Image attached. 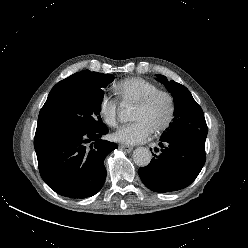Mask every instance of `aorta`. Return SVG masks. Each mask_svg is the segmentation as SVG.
<instances>
[{"label": "aorta", "mask_w": 248, "mask_h": 248, "mask_svg": "<svg viewBox=\"0 0 248 248\" xmlns=\"http://www.w3.org/2000/svg\"><path fill=\"white\" fill-rule=\"evenodd\" d=\"M119 119L122 122H127L131 120V110L129 108H124L119 113ZM152 159V154L150 150L145 147H138L133 152V160L135 164L139 167H145L149 165Z\"/></svg>", "instance_id": "aorta-1"}]
</instances>
